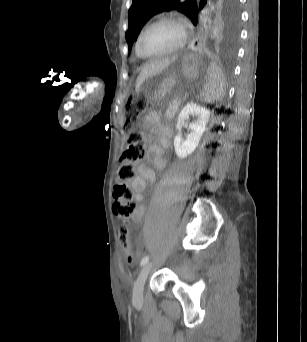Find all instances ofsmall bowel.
Here are the masks:
<instances>
[{
	"label": "small bowel",
	"instance_id": "1",
	"mask_svg": "<svg viewBox=\"0 0 307 342\" xmlns=\"http://www.w3.org/2000/svg\"><path fill=\"white\" fill-rule=\"evenodd\" d=\"M144 125L150 129L160 145L150 143L148 146L147 162H140L137 164V174L130 181V187L133 193V199L136 203L135 211L132 219L134 222H140L146 212L145 206V187L147 182H155L156 176L153 169L148 165L152 164L158 170L166 168V161L164 159V151L170 146V137L172 131L170 128L161 125L155 114L149 113L144 118Z\"/></svg>",
	"mask_w": 307,
	"mask_h": 342
}]
</instances>
